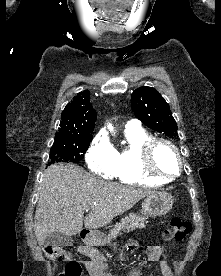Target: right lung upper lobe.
Segmentation results:
<instances>
[{"label":"right lung upper lobe","mask_w":221,"mask_h":276,"mask_svg":"<svg viewBox=\"0 0 221 276\" xmlns=\"http://www.w3.org/2000/svg\"><path fill=\"white\" fill-rule=\"evenodd\" d=\"M88 90L78 93L61 114V123L55 141L77 138H92L96 122V111L89 102Z\"/></svg>","instance_id":"cb5924a9"}]
</instances>
